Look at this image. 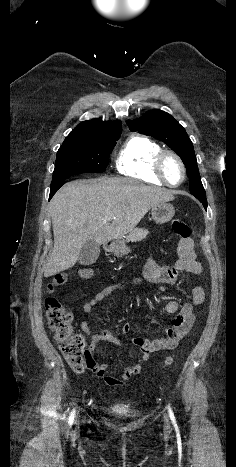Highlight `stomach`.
<instances>
[{
    "label": "stomach",
    "mask_w": 236,
    "mask_h": 467,
    "mask_svg": "<svg viewBox=\"0 0 236 467\" xmlns=\"http://www.w3.org/2000/svg\"><path fill=\"white\" fill-rule=\"evenodd\" d=\"M175 214L173 205L162 202L152 207L151 215L153 220L158 224H164L170 221ZM111 251L116 257H123L127 255L131 250L125 245L123 241L116 242L112 247Z\"/></svg>",
    "instance_id": "1"
}]
</instances>
